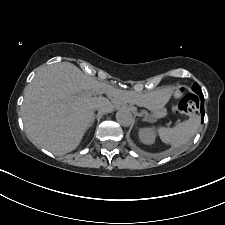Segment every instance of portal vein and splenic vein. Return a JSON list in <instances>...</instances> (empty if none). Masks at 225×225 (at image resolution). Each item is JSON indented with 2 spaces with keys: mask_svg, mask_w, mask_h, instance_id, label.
<instances>
[{
  "mask_svg": "<svg viewBox=\"0 0 225 225\" xmlns=\"http://www.w3.org/2000/svg\"><path fill=\"white\" fill-rule=\"evenodd\" d=\"M74 97H75V96H73V95L67 96L68 99H72V98H74Z\"/></svg>",
  "mask_w": 225,
  "mask_h": 225,
  "instance_id": "1",
  "label": "portal vein and splenic vein"
}]
</instances>
